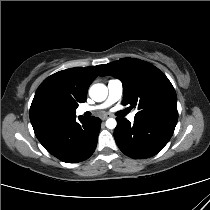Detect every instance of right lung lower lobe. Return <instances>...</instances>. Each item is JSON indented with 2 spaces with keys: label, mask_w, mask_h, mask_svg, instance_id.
I'll return each instance as SVG.
<instances>
[{
  "label": "right lung lower lobe",
  "mask_w": 210,
  "mask_h": 210,
  "mask_svg": "<svg viewBox=\"0 0 210 210\" xmlns=\"http://www.w3.org/2000/svg\"><path fill=\"white\" fill-rule=\"evenodd\" d=\"M76 115L63 120L36 136L45 149L66 163H77L88 159L94 152L101 120Z\"/></svg>",
  "instance_id": "98d812e1"
}]
</instances>
